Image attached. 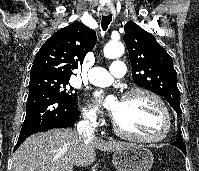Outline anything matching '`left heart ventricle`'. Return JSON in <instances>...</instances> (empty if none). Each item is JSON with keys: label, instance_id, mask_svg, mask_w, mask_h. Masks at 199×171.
Here are the masks:
<instances>
[{"label": "left heart ventricle", "instance_id": "left-heart-ventricle-1", "mask_svg": "<svg viewBox=\"0 0 199 171\" xmlns=\"http://www.w3.org/2000/svg\"><path fill=\"white\" fill-rule=\"evenodd\" d=\"M114 118L128 132L154 137L164 127V120L156 103L144 94H135L114 103Z\"/></svg>", "mask_w": 199, "mask_h": 171}]
</instances>
